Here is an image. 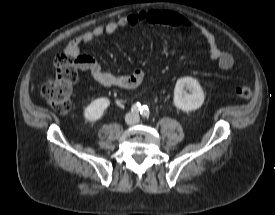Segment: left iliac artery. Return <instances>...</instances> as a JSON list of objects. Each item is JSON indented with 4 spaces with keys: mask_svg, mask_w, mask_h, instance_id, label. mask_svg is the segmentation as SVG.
I'll return each mask as SVG.
<instances>
[{
    "mask_svg": "<svg viewBox=\"0 0 275 215\" xmlns=\"http://www.w3.org/2000/svg\"><path fill=\"white\" fill-rule=\"evenodd\" d=\"M140 113H141L142 117H144V118H148L149 114H150L147 106H143Z\"/></svg>",
    "mask_w": 275,
    "mask_h": 215,
    "instance_id": "left-iliac-artery-1",
    "label": "left iliac artery"
}]
</instances>
